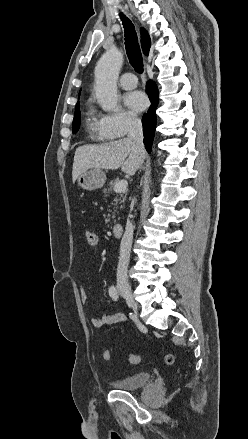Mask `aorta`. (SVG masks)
I'll return each mask as SVG.
<instances>
[{"label": "aorta", "instance_id": "762f6f07", "mask_svg": "<svg viewBox=\"0 0 248 439\" xmlns=\"http://www.w3.org/2000/svg\"><path fill=\"white\" fill-rule=\"evenodd\" d=\"M123 63L122 53L112 47L99 59L95 67V93L105 111H117V79Z\"/></svg>", "mask_w": 248, "mask_h": 439}]
</instances>
